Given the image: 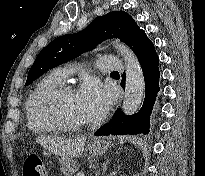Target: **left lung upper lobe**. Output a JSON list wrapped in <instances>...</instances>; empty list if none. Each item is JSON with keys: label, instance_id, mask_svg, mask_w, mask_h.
Masks as SVG:
<instances>
[{"label": "left lung upper lobe", "instance_id": "left-lung-upper-lobe-1", "mask_svg": "<svg viewBox=\"0 0 205 176\" xmlns=\"http://www.w3.org/2000/svg\"><path fill=\"white\" fill-rule=\"evenodd\" d=\"M137 28H139L138 25L128 13L113 11L95 18L85 29L76 34L54 39L38 54L28 73L26 85L48 70L79 56L83 52L92 50L106 39L119 38L128 45Z\"/></svg>", "mask_w": 205, "mask_h": 176}]
</instances>
